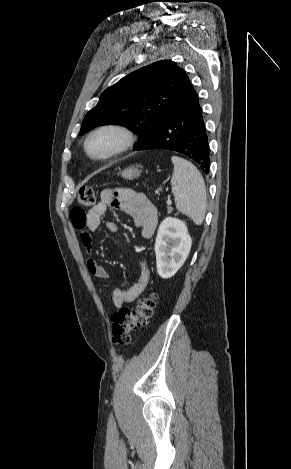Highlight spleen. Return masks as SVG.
Returning <instances> with one entry per match:
<instances>
[{
    "instance_id": "spleen-1",
    "label": "spleen",
    "mask_w": 291,
    "mask_h": 469,
    "mask_svg": "<svg viewBox=\"0 0 291 469\" xmlns=\"http://www.w3.org/2000/svg\"><path fill=\"white\" fill-rule=\"evenodd\" d=\"M171 160L174 165L171 185L176 208L200 225L207 206L204 179L191 162L178 156H172Z\"/></svg>"
}]
</instances>
